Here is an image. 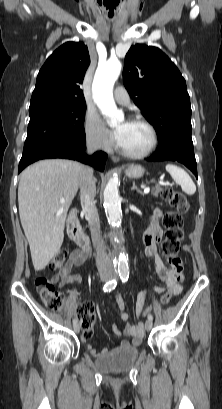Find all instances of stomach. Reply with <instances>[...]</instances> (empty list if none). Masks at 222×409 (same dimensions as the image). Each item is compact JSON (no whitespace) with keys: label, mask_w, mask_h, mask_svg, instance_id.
<instances>
[{"label":"stomach","mask_w":222,"mask_h":409,"mask_svg":"<svg viewBox=\"0 0 222 409\" xmlns=\"http://www.w3.org/2000/svg\"><path fill=\"white\" fill-rule=\"evenodd\" d=\"M145 170L140 165H133L125 170V174L130 178H140L143 176Z\"/></svg>","instance_id":"obj_1"}]
</instances>
